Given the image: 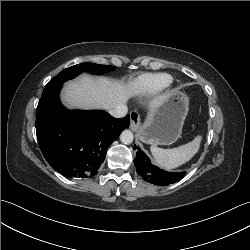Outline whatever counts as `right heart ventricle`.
Instances as JSON below:
<instances>
[{
  "mask_svg": "<svg viewBox=\"0 0 250 250\" xmlns=\"http://www.w3.org/2000/svg\"><path fill=\"white\" fill-rule=\"evenodd\" d=\"M172 76L167 73H145L134 78L130 84L133 92L139 95H150L167 87Z\"/></svg>",
  "mask_w": 250,
  "mask_h": 250,
  "instance_id": "obj_1",
  "label": "right heart ventricle"
}]
</instances>
